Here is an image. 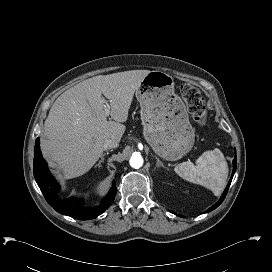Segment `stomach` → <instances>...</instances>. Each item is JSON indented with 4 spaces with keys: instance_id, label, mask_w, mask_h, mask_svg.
<instances>
[{
    "instance_id": "0dacf381",
    "label": "stomach",
    "mask_w": 272,
    "mask_h": 272,
    "mask_svg": "<svg viewBox=\"0 0 272 272\" xmlns=\"http://www.w3.org/2000/svg\"><path fill=\"white\" fill-rule=\"evenodd\" d=\"M174 79L163 71H150L136 89L141 107L143 134L160 157L176 161L195 142L186 106L174 92Z\"/></svg>"
}]
</instances>
